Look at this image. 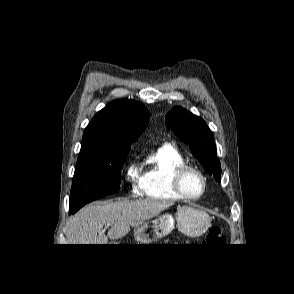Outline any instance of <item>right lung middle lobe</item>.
<instances>
[{
  "label": "right lung middle lobe",
  "mask_w": 294,
  "mask_h": 294,
  "mask_svg": "<svg viewBox=\"0 0 294 294\" xmlns=\"http://www.w3.org/2000/svg\"><path fill=\"white\" fill-rule=\"evenodd\" d=\"M130 150H80L70 193V208L82 207L119 191L121 169Z\"/></svg>",
  "instance_id": "obj_1"
}]
</instances>
